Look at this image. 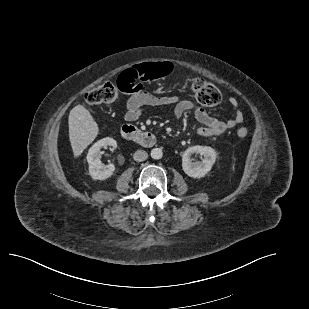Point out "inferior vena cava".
Masks as SVG:
<instances>
[{
    "mask_svg": "<svg viewBox=\"0 0 309 309\" xmlns=\"http://www.w3.org/2000/svg\"><path fill=\"white\" fill-rule=\"evenodd\" d=\"M134 160L137 162H142L148 158V153L144 150H137L133 156Z\"/></svg>",
    "mask_w": 309,
    "mask_h": 309,
    "instance_id": "602c4592",
    "label": "inferior vena cava"
}]
</instances>
